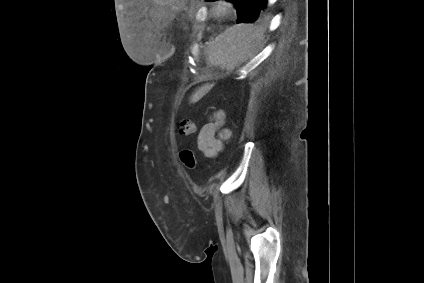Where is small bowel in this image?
<instances>
[{"instance_id":"obj_1","label":"small bowel","mask_w":424,"mask_h":283,"mask_svg":"<svg viewBox=\"0 0 424 283\" xmlns=\"http://www.w3.org/2000/svg\"><path fill=\"white\" fill-rule=\"evenodd\" d=\"M225 113L223 110H215L209 122L202 126L197 137L198 149L209 158L216 157L224 147L231 133L224 128Z\"/></svg>"}]
</instances>
